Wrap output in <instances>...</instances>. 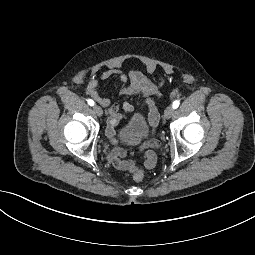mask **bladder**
<instances>
[{
	"instance_id": "bladder-1",
	"label": "bladder",
	"mask_w": 255,
	"mask_h": 255,
	"mask_svg": "<svg viewBox=\"0 0 255 255\" xmlns=\"http://www.w3.org/2000/svg\"><path fill=\"white\" fill-rule=\"evenodd\" d=\"M150 125L145 115L134 113L129 121L119 130L118 136L122 140L131 138L145 139L150 135Z\"/></svg>"
}]
</instances>
